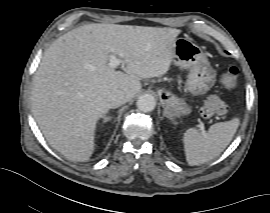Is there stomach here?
Masks as SVG:
<instances>
[{"label": "stomach", "instance_id": "obj_1", "mask_svg": "<svg viewBox=\"0 0 270 213\" xmlns=\"http://www.w3.org/2000/svg\"><path fill=\"white\" fill-rule=\"evenodd\" d=\"M172 62L181 68L189 70L185 87L193 96L206 94L215 84L216 72L199 47L190 40L185 38L175 40ZM158 95L165 117L175 120L192 112V107L171 91L160 88L158 89Z\"/></svg>", "mask_w": 270, "mask_h": 213}]
</instances>
